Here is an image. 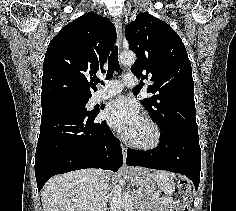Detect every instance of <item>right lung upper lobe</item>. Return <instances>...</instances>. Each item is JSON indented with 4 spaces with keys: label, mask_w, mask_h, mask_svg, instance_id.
Wrapping results in <instances>:
<instances>
[{
    "label": "right lung upper lobe",
    "mask_w": 236,
    "mask_h": 211,
    "mask_svg": "<svg viewBox=\"0 0 236 211\" xmlns=\"http://www.w3.org/2000/svg\"><path fill=\"white\" fill-rule=\"evenodd\" d=\"M116 41L109 19L86 13L64 26L45 54L41 104L59 98L89 99L97 71ZM90 80V82H89Z\"/></svg>",
    "instance_id": "right-lung-upper-lobe-1"
}]
</instances>
